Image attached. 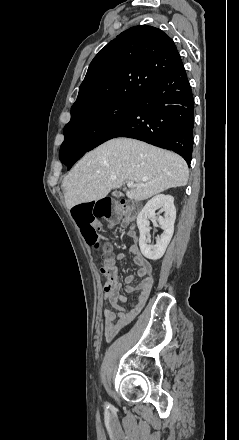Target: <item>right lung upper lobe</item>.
<instances>
[{
    "label": "right lung upper lobe",
    "mask_w": 239,
    "mask_h": 440,
    "mask_svg": "<svg viewBox=\"0 0 239 440\" xmlns=\"http://www.w3.org/2000/svg\"><path fill=\"white\" fill-rule=\"evenodd\" d=\"M180 60L173 40L158 28L141 25L122 32L90 63L71 116L114 97H140Z\"/></svg>",
    "instance_id": "1"
}]
</instances>
